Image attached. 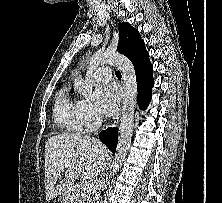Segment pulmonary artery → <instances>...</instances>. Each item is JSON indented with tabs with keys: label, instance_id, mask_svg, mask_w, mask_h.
I'll return each mask as SVG.
<instances>
[{
	"label": "pulmonary artery",
	"instance_id": "obj_1",
	"mask_svg": "<svg viewBox=\"0 0 222 203\" xmlns=\"http://www.w3.org/2000/svg\"><path fill=\"white\" fill-rule=\"evenodd\" d=\"M112 77L111 70L109 67L103 66L94 72V79L99 83H106Z\"/></svg>",
	"mask_w": 222,
	"mask_h": 203
}]
</instances>
